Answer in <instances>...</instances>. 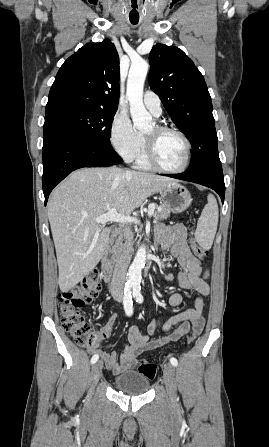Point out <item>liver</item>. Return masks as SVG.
Returning <instances> with one entry per match:
<instances>
[{
  "instance_id": "1",
  "label": "liver",
  "mask_w": 269,
  "mask_h": 447,
  "mask_svg": "<svg viewBox=\"0 0 269 447\" xmlns=\"http://www.w3.org/2000/svg\"><path fill=\"white\" fill-rule=\"evenodd\" d=\"M170 178L121 168H81L53 190L48 220L55 243L61 291H69L99 263L110 227L95 218L115 208L130 216L142 202L165 190ZM87 216V218H84Z\"/></svg>"
}]
</instances>
